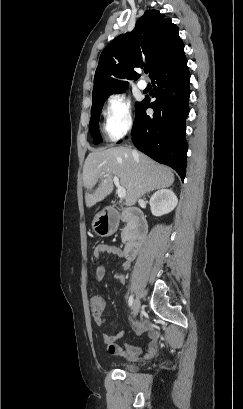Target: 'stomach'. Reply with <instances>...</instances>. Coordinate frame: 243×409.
<instances>
[{
	"label": "stomach",
	"mask_w": 243,
	"mask_h": 409,
	"mask_svg": "<svg viewBox=\"0 0 243 409\" xmlns=\"http://www.w3.org/2000/svg\"><path fill=\"white\" fill-rule=\"evenodd\" d=\"M92 228L97 235L106 237L114 233L116 223L111 222L104 212H100L95 215L92 222Z\"/></svg>",
	"instance_id": "1"
}]
</instances>
